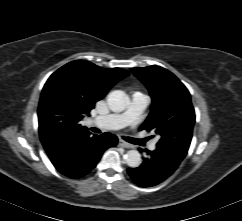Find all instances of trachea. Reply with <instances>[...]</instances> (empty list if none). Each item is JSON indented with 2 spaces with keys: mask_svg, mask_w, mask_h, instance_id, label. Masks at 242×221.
I'll list each match as a JSON object with an SVG mask.
<instances>
[{
  "mask_svg": "<svg viewBox=\"0 0 242 221\" xmlns=\"http://www.w3.org/2000/svg\"><path fill=\"white\" fill-rule=\"evenodd\" d=\"M91 130L92 131H94V132H97L98 130L96 129V128H91ZM124 139L126 140V141H128V142H131V143H136V142H138V141H140L139 139H135V138H131V137H124ZM148 140V138H146V139H143L142 141H147Z\"/></svg>",
  "mask_w": 242,
  "mask_h": 221,
  "instance_id": "trachea-1",
  "label": "trachea"
}]
</instances>
